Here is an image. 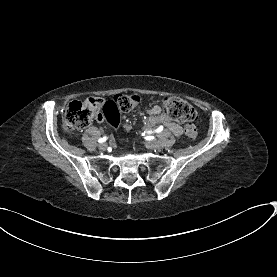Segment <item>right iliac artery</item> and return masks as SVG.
<instances>
[{
  "label": "right iliac artery",
  "mask_w": 277,
  "mask_h": 277,
  "mask_svg": "<svg viewBox=\"0 0 277 277\" xmlns=\"http://www.w3.org/2000/svg\"><path fill=\"white\" fill-rule=\"evenodd\" d=\"M106 140H107L106 137H102V138L98 139V142H99V143H103V142H105Z\"/></svg>",
  "instance_id": "82829eb1"
}]
</instances>
